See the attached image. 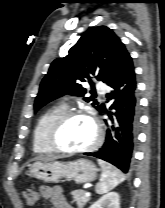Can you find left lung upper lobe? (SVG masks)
Here are the masks:
<instances>
[{
  "label": "left lung upper lobe",
  "mask_w": 165,
  "mask_h": 208,
  "mask_svg": "<svg viewBox=\"0 0 165 208\" xmlns=\"http://www.w3.org/2000/svg\"><path fill=\"white\" fill-rule=\"evenodd\" d=\"M68 53L54 60L43 78L35 111L64 94L84 96L86 90L81 83L94 86L92 78L107 83L129 55L119 37L106 26L90 28ZM84 100L93 101L92 105L99 110L100 105L92 97Z\"/></svg>",
  "instance_id": "5c2ea615"
}]
</instances>
